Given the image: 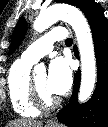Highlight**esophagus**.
<instances>
[{"label": "esophagus", "mask_w": 108, "mask_h": 127, "mask_svg": "<svg viewBox=\"0 0 108 127\" xmlns=\"http://www.w3.org/2000/svg\"><path fill=\"white\" fill-rule=\"evenodd\" d=\"M55 124H56V121L53 119L48 122V126L50 127L55 126Z\"/></svg>", "instance_id": "34e87169"}]
</instances>
